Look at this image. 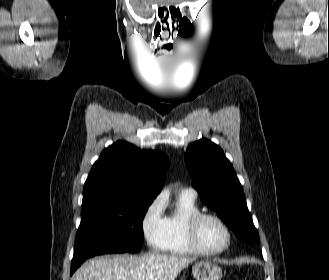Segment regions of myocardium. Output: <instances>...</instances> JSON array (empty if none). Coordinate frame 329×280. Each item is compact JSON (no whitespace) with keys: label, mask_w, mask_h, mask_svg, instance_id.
<instances>
[{"label":"myocardium","mask_w":329,"mask_h":280,"mask_svg":"<svg viewBox=\"0 0 329 280\" xmlns=\"http://www.w3.org/2000/svg\"><path fill=\"white\" fill-rule=\"evenodd\" d=\"M205 219H213L223 227L227 237L226 243L223 247L216 250H208L202 246L199 240V229L201 223ZM187 238L191 248L195 253L204 256H217L223 254L230 248L233 235L226 221L218 214L213 212H198L192 215L187 222Z\"/></svg>","instance_id":"1"}]
</instances>
